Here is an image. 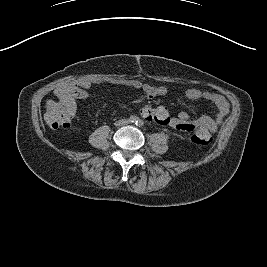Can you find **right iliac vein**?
I'll return each instance as SVG.
<instances>
[{
	"label": "right iliac vein",
	"mask_w": 267,
	"mask_h": 267,
	"mask_svg": "<svg viewBox=\"0 0 267 267\" xmlns=\"http://www.w3.org/2000/svg\"><path fill=\"white\" fill-rule=\"evenodd\" d=\"M121 124H122L121 122L118 123L119 126H120Z\"/></svg>",
	"instance_id": "1"
}]
</instances>
